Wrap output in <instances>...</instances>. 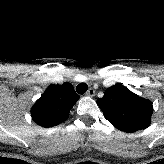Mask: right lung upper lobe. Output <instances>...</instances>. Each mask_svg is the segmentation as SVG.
I'll list each match as a JSON object with an SVG mask.
<instances>
[{"label":"right lung upper lobe","mask_w":164,"mask_h":164,"mask_svg":"<svg viewBox=\"0 0 164 164\" xmlns=\"http://www.w3.org/2000/svg\"><path fill=\"white\" fill-rule=\"evenodd\" d=\"M79 99L73 86H49L31 109L33 120L42 127L56 126L69 117V112Z\"/></svg>","instance_id":"right-lung-upper-lobe-1"}]
</instances>
